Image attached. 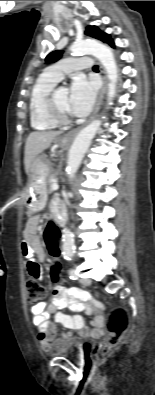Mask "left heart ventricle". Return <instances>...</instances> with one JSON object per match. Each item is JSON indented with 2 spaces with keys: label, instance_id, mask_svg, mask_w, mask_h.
I'll return each instance as SVG.
<instances>
[{
  "label": "left heart ventricle",
  "instance_id": "b2bd125f",
  "mask_svg": "<svg viewBox=\"0 0 155 395\" xmlns=\"http://www.w3.org/2000/svg\"><path fill=\"white\" fill-rule=\"evenodd\" d=\"M68 98H69V94L68 91L65 89H59L56 93V102L57 105L59 107V109L65 113V114H69V110H68Z\"/></svg>",
  "mask_w": 155,
  "mask_h": 395
}]
</instances>
